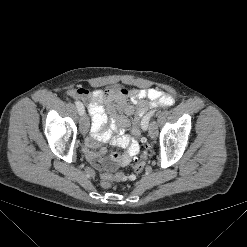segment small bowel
<instances>
[{"instance_id": "c3829d8e", "label": "small bowel", "mask_w": 247, "mask_h": 247, "mask_svg": "<svg viewBox=\"0 0 247 247\" xmlns=\"http://www.w3.org/2000/svg\"><path fill=\"white\" fill-rule=\"evenodd\" d=\"M75 100L87 103L92 117L91 132L85 141V155L89 162L100 171H112L128 165L139 153V144L126 130L142 119L148 108L156 105L171 106L173 97L159 89H96L78 87L67 92ZM108 116L110 127L103 130ZM133 118V119H131ZM111 142L114 146L125 149V153L113 152L109 160L102 143Z\"/></svg>"}]
</instances>
